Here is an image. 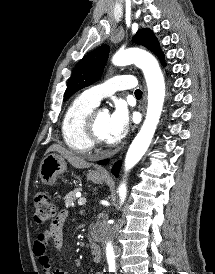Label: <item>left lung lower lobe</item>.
<instances>
[{
    "label": "left lung lower lobe",
    "instance_id": "1",
    "mask_svg": "<svg viewBox=\"0 0 215 274\" xmlns=\"http://www.w3.org/2000/svg\"><path fill=\"white\" fill-rule=\"evenodd\" d=\"M107 162H108V160H103V161H99L98 164L103 165V164H106ZM120 166H121L120 162H117V163L114 165V167H113V169H112V172H113L114 175H118Z\"/></svg>",
    "mask_w": 215,
    "mask_h": 274
}]
</instances>
